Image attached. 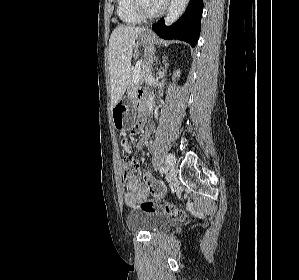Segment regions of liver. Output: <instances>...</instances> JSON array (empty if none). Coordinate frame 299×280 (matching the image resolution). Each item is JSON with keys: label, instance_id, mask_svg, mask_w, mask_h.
I'll list each match as a JSON object with an SVG mask.
<instances>
[{"label": "liver", "instance_id": "6515ba94", "mask_svg": "<svg viewBox=\"0 0 299 280\" xmlns=\"http://www.w3.org/2000/svg\"><path fill=\"white\" fill-rule=\"evenodd\" d=\"M146 29L116 27L109 40L108 60L111 80V108L122 98L131 77V59L135 40Z\"/></svg>", "mask_w": 299, "mask_h": 280}]
</instances>
